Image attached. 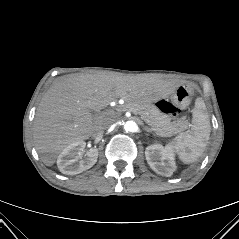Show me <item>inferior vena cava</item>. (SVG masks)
<instances>
[{"instance_id":"obj_1","label":"inferior vena cava","mask_w":239,"mask_h":239,"mask_svg":"<svg viewBox=\"0 0 239 239\" xmlns=\"http://www.w3.org/2000/svg\"><path fill=\"white\" fill-rule=\"evenodd\" d=\"M112 124V121L109 119H106L103 124L97 129V135L101 136L104 131L109 128V126Z\"/></svg>"}]
</instances>
